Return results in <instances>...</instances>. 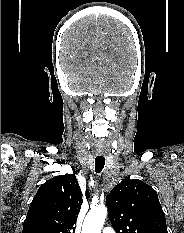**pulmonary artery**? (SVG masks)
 <instances>
[{
	"instance_id": "1",
	"label": "pulmonary artery",
	"mask_w": 184,
	"mask_h": 233,
	"mask_svg": "<svg viewBox=\"0 0 184 233\" xmlns=\"http://www.w3.org/2000/svg\"><path fill=\"white\" fill-rule=\"evenodd\" d=\"M102 233H115V231L111 227H105L103 228Z\"/></svg>"
}]
</instances>
